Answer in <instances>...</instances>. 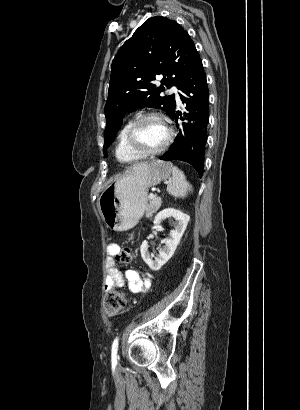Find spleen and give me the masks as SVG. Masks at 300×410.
<instances>
[{
  "label": "spleen",
  "instance_id": "1",
  "mask_svg": "<svg viewBox=\"0 0 300 410\" xmlns=\"http://www.w3.org/2000/svg\"><path fill=\"white\" fill-rule=\"evenodd\" d=\"M192 190V185L187 182L184 173L177 167H172V179L167 184L168 193L175 198H185Z\"/></svg>",
  "mask_w": 300,
  "mask_h": 410
}]
</instances>
